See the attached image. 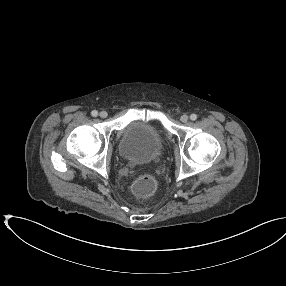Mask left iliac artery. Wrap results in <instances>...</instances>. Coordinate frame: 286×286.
I'll list each match as a JSON object with an SVG mask.
<instances>
[{"label":"left iliac artery","instance_id":"1","mask_svg":"<svg viewBox=\"0 0 286 286\" xmlns=\"http://www.w3.org/2000/svg\"><path fill=\"white\" fill-rule=\"evenodd\" d=\"M190 119L193 120V121L196 120L197 119V115L196 114H191L190 115Z\"/></svg>","mask_w":286,"mask_h":286}]
</instances>
